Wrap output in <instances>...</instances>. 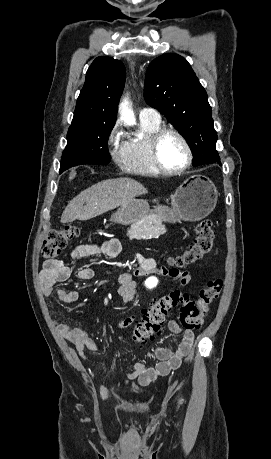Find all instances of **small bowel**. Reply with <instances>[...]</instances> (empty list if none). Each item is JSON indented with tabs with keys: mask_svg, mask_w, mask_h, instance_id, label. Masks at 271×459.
Wrapping results in <instances>:
<instances>
[{
	"mask_svg": "<svg viewBox=\"0 0 271 459\" xmlns=\"http://www.w3.org/2000/svg\"><path fill=\"white\" fill-rule=\"evenodd\" d=\"M120 253V242L115 238H110L102 242L84 243L76 246L69 254L72 261H79L87 257L105 256L115 258ZM134 259L138 263V268L132 273H123L119 276L118 295L125 301L130 302L135 296V281L137 277H145L148 274L158 273L171 280L178 281L182 286L190 284L192 277L188 271H180L177 268H158L156 262L151 258H145L140 254H135ZM71 275L70 268L61 260H48L44 262L40 272L39 282L43 295L49 296L56 292L58 301L69 304L76 302L79 293L74 290L55 288L56 284L65 282ZM94 271L89 267H81L77 271V277L81 280L93 278ZM135 321V315H129L115 325L117 329H124ZM56 329L76 347L77 352L83 359H87L86 351H96L99 349L98 343L88 337L80 328L69 326L63 323H55ZM168 329L180 336V342L174 348L157 347L154 356L158 360L153 367H146L142 363H134L129 367L128 379L126 384L137 381L141 386H147L160 376H166L171 371L177 369L184 358L190 355L194 343V334L191 329L182 327L176 319L168 322ZM101 393L108 397L110 392L102 387Z\"/></svg>",
	"mask_w": 271,
	"mask_h": 459,
	"instance_id": "obj_1",
	"label": "small bowel"
}]
</instances>
